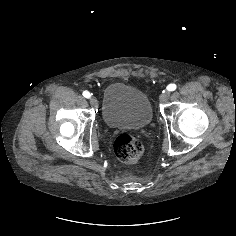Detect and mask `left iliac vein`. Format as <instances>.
Listing matches in <instances>:
<instances>
[{
  "label": "left iliac vein",
  "instance_id": "4c4485c4",
  "mask_svg": "<svg viewBox=\"0 0 236 236\" xmlns=\"http://www.w3.org/2000/svg\"><path fill=\"white\" fill-rule=\"evenodd\" d=\"M170 97V92L169 91H164L161 95H160V102L164 103L166 102Z\"/></svg>",
  "mask_w": 236,
  "mask_h": 236
}]
</instances>
